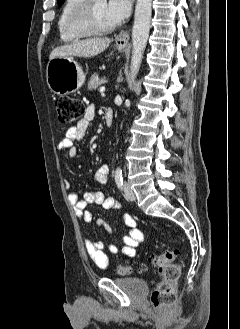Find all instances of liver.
Returning <instances> with one entry per match:
<instances>
[{"label":"liver","instance_id":"1","mask_svg":"<svg viewBox=\"0 0 240 329\" xmlns=\"http://www.w3.org/2000/svg\"><path fill=\"white\" fill-rule=\"evenodd\" d=\"M109 38H90L82 41H77L71 44L56 47L51 52L49 59L55 57L78 56L90 58L105 51L110 45Z\"/></svg>","mask_w":240,"mask_h":329}]
</instances>
